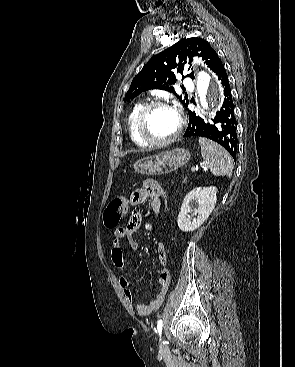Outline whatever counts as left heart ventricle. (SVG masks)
Masks as SVG:
<instances>
[{"label":"left heart ventricle","instance_id":"b2bd125f","mask_svg":"<svg viewBox=\"0 0 295 367\" xmlns=\"http://www.w3.org/2000/svg\"><path fill=\"white\" fill-rule=\"evenodd\" d=\"M178 127V117L169 108H156L148 116L146 130L150 137L163 140L172 136Z\"/></svg>","mask_w":295,"mask_h":367}]
</instances>
